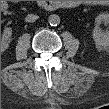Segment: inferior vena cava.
<instances>
[{
  "instance_id": "inferior-vena-cava-1",
  "label": "inferior vena cava",
  "mask_w": 109,
  "mask_h": 109,
  "mask_svg": "<svg viewBox=\"0 0 109 109\" xmlns=\"http://www.w3.org/2000/svg\"><path fill=\"white\" fill-rule=\"evenodd\" d=\"M39 17L35 14H28L25 18L26 22H34L38 19Z\"/></svg>"
}]
</instances>
